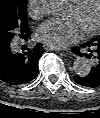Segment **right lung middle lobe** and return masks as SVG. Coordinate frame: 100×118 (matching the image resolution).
<instances>
[{"mask_svg":"<svg viewBox=\"0 0 100 118\" xmlns=\"http://www.w3.org/2000/svg\"><path fill=\"white\" fill-rule=\"evenodd\" d=\"M26 4L27 0H0V44L10 42L16 33L21 38L30 35Z\"/></svg>","mask_w":100,"mask_h":118,"instance_id":"dd1d6c3e","label":"right lung middle lobe"}]
</instances>
